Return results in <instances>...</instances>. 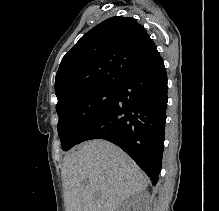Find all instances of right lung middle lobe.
I'll use <instances>...</instances> for the list:
<instances>
[{"mask_svg":"<svg viewBox=\"0 0 219 211\" xmlns=\"http://www.w3.org/2000/svg\"><path fill=\"white\" fill-rule=\"evenodd\" d=\"M115 87H97L57 104L58 134L67 151L113 103Z\"/></svg>","mask_w":219,"mask_h":211,"instance_id":"obj_1","label":"right lung middle lobe"}]
</instances>
